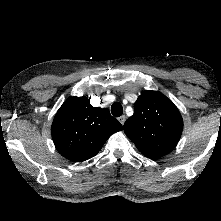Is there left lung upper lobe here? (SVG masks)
I'll use <instances>...</instances> for the list:
<instances>
[{
  "instance_id": "left-lung-upper-lobe-1",
  "label": "left lung upper lobe",
  "mask_w": 221,
  "mask_h": 221,
  "mask_svg": "<svg viewBox=\"0 0 221 221\" xmlns=\"http://www.w3.org/2000/svg\"><path fill=\"white\" fill-rule=\"evenodd\" d=\"M183 120L177 107L162 93L146 91L134 104V114L124 124V132L146 157L157 159L177 145Z\"/></svg>"
}]
</instances>
